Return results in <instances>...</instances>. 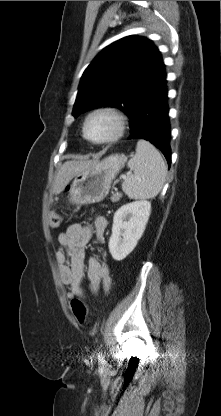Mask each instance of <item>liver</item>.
I'll list each match as a JSON object with an SVG mask.
<instances>
[{"mask_svg":"<svg viewBox=\"0 0 221 416\" xmlns=\"http://www.w3.org/2000/svg\"><path fill=\"white\" fill-rule=\"evenodd\" d=\"M97 162L98 160L66 161L58 170L53 184V193L56 195L61 193L75 175L89 169Z\"/></svg>","mask_w":221,"mask_h":416,"instance_id":"obj_1","label":"liver"}]
</instances>
